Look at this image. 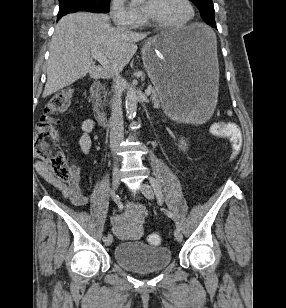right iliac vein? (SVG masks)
<instances>
[{"label": "right iliac vein", "mask_w": 286, "mask_h": 308, "mask_svg": "<svg viewBox=\"0 0 286 308\" xmlns=\"http://www.w3.org/2000/svg\"><path fill=\"white\" fill-rule=\"evenodd\" d=\"M112 184H113L114 191H117V189L119 188V185H120V176H119V170H118L117 162H115V164H114ZM112 241H113L112 235L108 234L106 236L105 241H104L105 245L110 246L112 244Z\"/></svg>", "instance_id": "right-iliac-vein-1"}]
</instances>
